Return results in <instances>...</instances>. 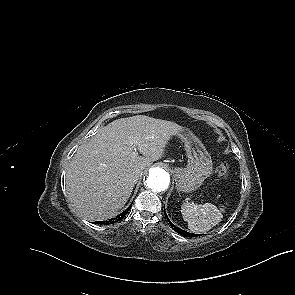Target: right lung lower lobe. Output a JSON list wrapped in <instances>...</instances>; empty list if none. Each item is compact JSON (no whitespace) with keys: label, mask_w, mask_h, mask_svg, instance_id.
Wrapping results in <instances>:
<instances>
[{"label":"right lung lower lobe","mask_w":295,"mask_h":295,"mask_svg":"<svg viewBox=\"0 0 295 295\" xmlns=\"http://www.w3.org/2000/svg\"><path fill=\"white\" fill-rule=\"evenodd\" d=\"M131 207H129L127 210H125L123 213H121L120 215H118L116 218L114 219H110L109 221H104V222H101V221H98V222H95V223H98V224H112L114 222H117L121 219H123L125 217V215L128 213V211L130 210Z\"/></svg>","instance_id":"obj_1"}]
</instances>
